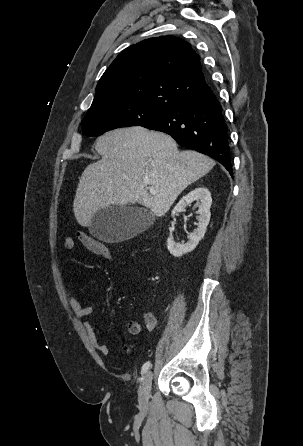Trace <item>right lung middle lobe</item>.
Listing matches in <instances>:
<instances>
[{
	"label": "right lung middle lobe",
	"mask_w": 303,
	"mask_h": 446,
	"mask_svg": "<svg viewBox=\"0 0 303 446\" xmlns=\"http://www.w3.org/2000/svg\"><path fill=\"white\" fill-rule=\"evenodd\" d=\"M143 103H113L89 109L83 120V133L99 136L107 131L139 126L168 111Z\"/></svg>",
	"instance_id": "1"
}]
</instances>
